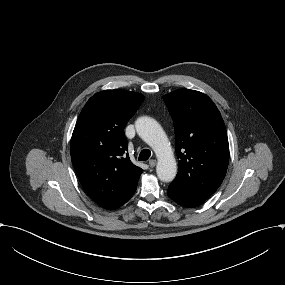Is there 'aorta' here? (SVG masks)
<instances>
[{
	"mask_svg": "<svg viewBox=\"0 0 285 285\" xmlns=\"http://www.w3.org/2000/svg\"><path fill=\"white\" fill-rule=\"evenodd\" d=\"M138 135L154 150L158 163L157 176L170 182L177 174V164L168 138L159 123L150 117H140L135 123Z\"/></svg>",
	"mask_w": 285,
	"mask_h": 285,
	"instance_id": "762f6f07",
	"label": "aorta"
}]
</instances>
